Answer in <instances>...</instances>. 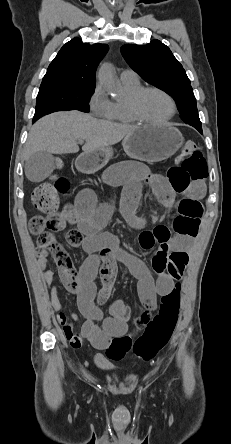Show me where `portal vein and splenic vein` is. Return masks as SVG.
Wrapping results in <instances>:
<instances>
[{
	"label": "portal vein and splenic vein",
	"instance_id": "portal-vein-and-splenic-vein-1",
	"mask_svg": "<svg viewBox=\"0 0 231 444\" xmlns=\"http://www.w3.org/2000/svg\"><path fill=\"white\" fill-rule=\"evenodd\" d=\"M79 143H83V140H79Z\"/></svg>",
	"mask_w": 231,
	"mask_h": 444
}]
</instances>
